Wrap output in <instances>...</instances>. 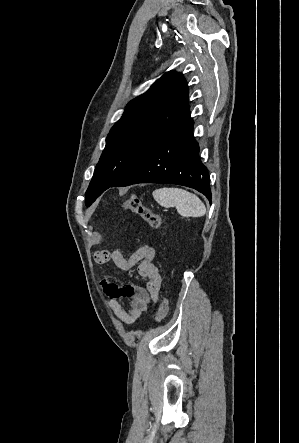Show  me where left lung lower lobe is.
Wrapping results in <instances>:
<instances>
[{"mask_svg": "<svg viewBox=\"0 0 299 443\" xmlns=\"http://www.w3.org/2000/svg\"><path fill=\"white\" fill-rule=\"evenodd\" d=\"M198 152L199 146L193 136V120L189 115L110 187L171 183L194 188L209 198L210 178Z\"/></svg>", "mask_w": 299, "mask_h": 443, "instance_id": "1", "label": "left lung lower lobe"}]
</instances>
